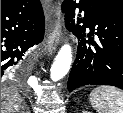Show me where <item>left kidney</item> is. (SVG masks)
I'll list each match as a JSON object with an SVG mask.
<instances>
[{
  "label": "left kidney",
  "instance_id": "1",
  "mask_svg": "<svg viewBox=\"0 0 123 113\" xmlns=\"http://www.w3.org/2000/svg\"><path fill=\"white\" fill-rule=\"evenodd\" d=\"M83 113H90L89 111H83Z\"/></svg>",
  "mask_w": 123,
  "mask_h": 113
}]
</instances>
